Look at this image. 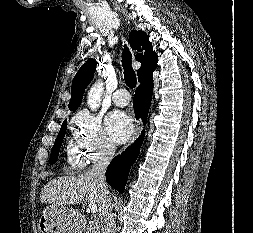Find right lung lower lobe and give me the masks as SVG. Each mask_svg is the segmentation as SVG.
<instances>
[{
	"label": "right lung lower lobe",
	"mask_w": 253,
	"mask_h": 233,
	"mask_svg": "<svg viewBox=\"0 0 253 233\" xmlns=\"http://www.w3.org/2000/svg\"><path fill=\"white\" fill-rule=\"evenodd\" d=\"M138 81L140 85L135 92L133 107L136 118L141 117L145 124L152 98L153 71L147 72ZM143 139L144 132L125 152L115 157L107 168L108 183L120 193L124 192L130 167L138 157Z\"/></svg>",
	"instance_id": "obj_1"
}]
</instances>
